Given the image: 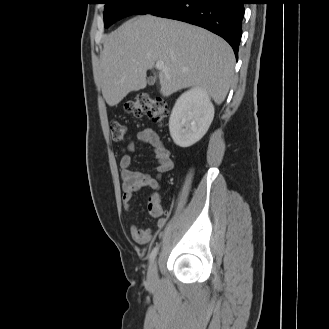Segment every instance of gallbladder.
I'll return each mask as SVG.
<instances>
[{
  "mask_svg": "<svg viewBox=\"0 0 329 329\" xmlns=\"http://www.w3.org/2000/svg\"><path fill=\"white\" fill-rule=\"evenodd\" d=\"M148 84L149 85H153L154 84V78L153 77H149L148 78Z\"/></svg>",
  "mask_w": 329,
  "mask_h": 329,
  "instance_id": "obj_1",
  "label": "gallbladder"
}]
</instances>
